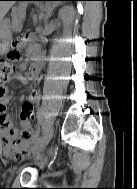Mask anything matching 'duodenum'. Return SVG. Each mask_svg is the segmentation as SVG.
<instances>
[{
  "label": "duodenum",
  "instance_id": "obj_1",
  "mask_svg": "<svg viewBox=\"0 0 137 189\" xmlns=\"http://www.w3.org/2000/svg\"><path fill=\"white\" fill-rule=\"evenodd\" d=\"M30 55L35 57L36 60H39L40 51L38 47H32L29 50Z\"/></svg>",
  "mask_w": 137,
  "mask_h": 189
}]
</instances>
